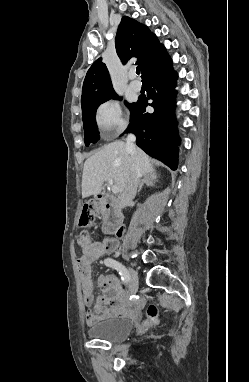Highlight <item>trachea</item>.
I'll return each mask as SVG.
<instances>
[{"label":"trachea","instance_id":"3493384b","mask_svg":"<svg viewBox=\"0 0 249 382\" xmlns=\"http://www.w3.org/2000/svg\"><path fill=\"white\" fill-rule=\"evenodd\" d=\"M136 73H137L138 75L140 74V69H139V67L136 68ZM141 77L144 78L143 75H142Z\"/></svg>","mask_w":249,"mask_h":382}]
</instances>
